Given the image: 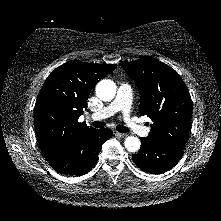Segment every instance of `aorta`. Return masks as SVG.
<instances>
[{"instance_id": "aorta-1", "label": "aorta", "mask_w": 221, "mask_h": 221, "mask_svg": "<svg viewBox=\"0 0 221 221\" xmlns=\"http://www.w3.org/2000/svg\"><path fill=\"white\" fill-rule=\"evenodd\" d=\"M96 94L103 101H110L115 97L116 85L108 79L101 80L96 85ZM125 148L130 152H136L140 149L141 142L135 136H128L124 141Z\"/></svg>"}]
</instances>
